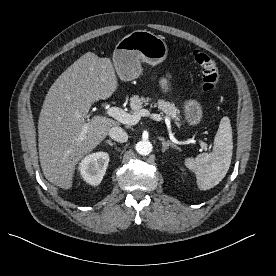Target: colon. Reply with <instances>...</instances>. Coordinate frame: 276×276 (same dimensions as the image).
<instances>
[{"label":"colon","instance_id":"colon-1","mask_svg":"<svg viewBox=\"0 0 276 276\" xmlns=\"http://www.w3.org/2000/svg\"><path fill=\"white\" fill-rule=\"evenodd\" d=\"M193 58L202 72V86L205 92H214L220 84V72L216 62L200 50L193 52Z\"/></svg>","mask_w":276,"mask_h":276}]
</instances>
